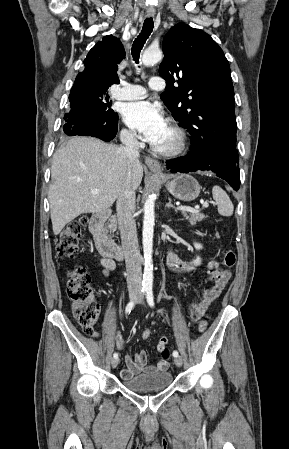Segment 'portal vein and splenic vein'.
Instances as JSON below:
<instances>
[{
	"mask_svg": "<svg viewBox=\"0 0 289 449\" xmlns=\"http://www.w3.org/2000/svg\"><path fill=\"white\" fill-rule=\"evenodd\" d=\"M99 192H100L99 189H93L92 190V194H98ZM208 206H209L208 202H204L203 205H202L203 208H207ZM177 209L180 210V211H183V212H186V211L187 212H191V213L199 212L198 208H192V207H188V206H179Z\"/></svg>",
	"mask_w": 289,
	"mask_h": 449,
	"instance_id": "1",
	"label": "portal vein and splenic vein"
}]
</instances>
